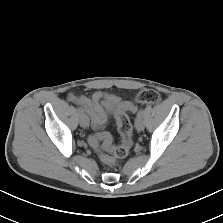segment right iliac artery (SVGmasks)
<instances>
[{"instance_id": "1", "label": "right iliac artery", "mask_w": 223, "mask_h": 223, "mask_svg": "<svg viewBox=\"0 0 223 223\" xmlns=\"http://www.w3.org/2000/svg\"><path fill=\"white\" fill-rule=\"evenodd\" d=\"M77 110L79 111V113H83L82 108H78Z\"/></svg>"}]
</instances>
